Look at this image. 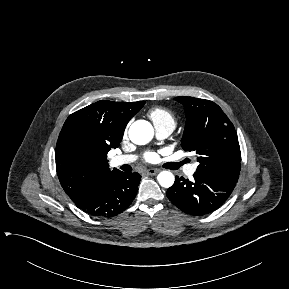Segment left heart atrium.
Returning <instances> with one entry per match:
<instances>
[{
    "label": "left heart atrium",
    "mask_w": 289,
    "mask_h": 289,
    "mask_svg": "<svg viewBox=\"0 0 289 289\" xmlns=\"http://www.w3.org/2000/svg\"><path fill=\"white\" fill-rule=\"evenodd\" d=\"M145 160L150 163H155L159 160V155L155 152L146 153Z\"/></svg>",
    "instance_id": "1"
}]
</instances>
